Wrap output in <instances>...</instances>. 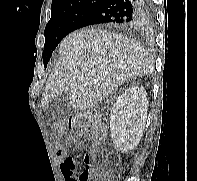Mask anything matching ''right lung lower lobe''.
I'll list each match as a JSON object with an SVG mask.
<instances>
[{"instance_id": "right-lung-lower-lobe-1", "label": "right lung lower lobe", "mask_w": 197, "mask_h": 181, "mask_svg": "<svg viewBox=\"0 0 197 181\" xmlns=\"http://www.w3.org/2000/svg\"><path fill=\"white\" fill-rule=\"evenodd\" d=\"M151 13V0H104L80 20L76 29L96 24L138 28L144 26Z\"/></svg>"}]
</instances>
